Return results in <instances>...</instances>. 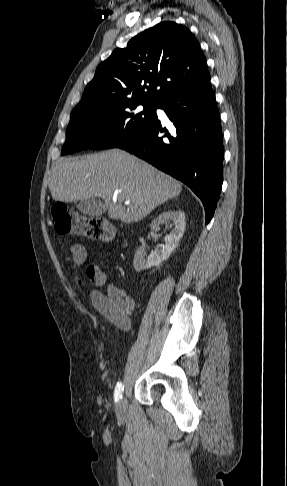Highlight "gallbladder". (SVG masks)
<instances>
[{
    "label": "gallbladder",
    "mask_w": 287,
    "mask_h": 486,
    "mask_svg": "<svg viewBox=\"0 0 287 486\" xmlns=\"http://www.w3.org/2000/svg\"><path fill=\"white\" fill-rule=\"evenodd\" d=\"M76 207L81 213L90 217L101 216L106 212L105 204L98 198L79 201Z\"/></svg>",
    "instance_id": "1"
}]
</instances>
